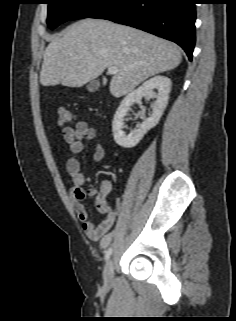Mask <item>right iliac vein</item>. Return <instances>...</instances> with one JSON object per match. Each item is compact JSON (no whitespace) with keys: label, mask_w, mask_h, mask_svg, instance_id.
<instances>
[{"label":"right iliac vein","mask_w":236,"mask_h":321,"mask_svg":"<svg viewBox=\"0 0 236 321\" xmlns=\"http://www.w3.org/2000/svg\"><path fill=\"white\" fill-rule=\"evenodd\" d=\"M103 278L106 286H111L113 284L114 263L112 259H109L104 267Z\"/></svg>","instance_id":"right-iliac-vein-1"}]
</instances>
